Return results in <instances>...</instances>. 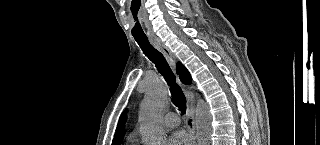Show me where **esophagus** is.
Returning <instances> with one entry per match:
<instances>
[{"label": "esophagus", "instance_id": "obj_1", "mask_svg": "<svg viewBox=\"0 0 320 145\" xmlns=\"http://www.w3.org/2000/svg\"><path fill=\"white\" fill-rule=\"evenodd\" d=\"M150 42L165 56L167 61L175 66L176 59L171 50L158 38H150ZM187 119L186 126L190 136L191 145H196V128H195V109L194 101L192 99L190 91H187Z\"/></svg>", "mask_w": 320, "mask_h": 145}]
</instances>
